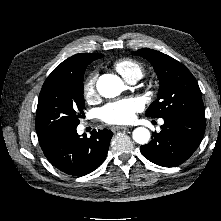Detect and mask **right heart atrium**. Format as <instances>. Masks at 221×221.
<instances>
[{
  "mask_svg": "<svg viewBox=\"0 0 221 221\" xmlns=\"http://www.w3.org/2000/svg\"><path fill=\"white\" fill-rule=\"evenodd\" d=\"M96 82L97 74L91 73L83 83V95L87 101H94L98 97Z\"/></svg>",
  "mask_w": 221,
  "mask_h": 221,
  "instance_id": "1",
  "label": "right heart atrium"
}]
</instances>
